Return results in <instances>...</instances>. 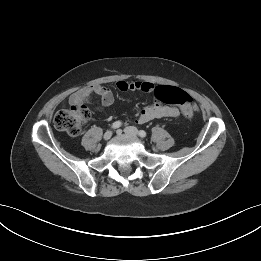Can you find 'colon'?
<instances>
[{
  "mask_svg": "<svg viewBox=\"0 0 261 261\" xmlns=\"http://www.w3.org/2000/svg\"><path fill=\"white\" fill-rule=\"evenodd\" d=\"M156 97L167 104L180 106L186 118H191L194 112L192 98L184 90L177 87L160 86L155 90ZM90 117V110L85 105H71L69 108L59 110L54 117V126L71 136H77L82 125Z\"/></svg>",
  "mask_w": 261,
  "mask_h": 261,
  "instance_id": "obj_1",
  "label": "colon"
}]
</instances>
